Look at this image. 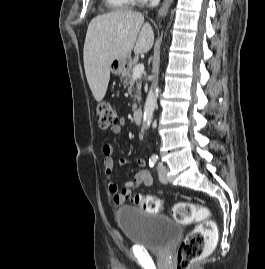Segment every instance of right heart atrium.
<instances>
[{"label":"right heart atrium","mask_w":265,"mask_h":269,"mask_svg":"<svg viewBox=\"0 0 265 269\" xmlns=\"http://www.w3.org/2000/svg\"><path fill=\"white\" fill-rule=\"evenodd\" d=\"M136 2H144V1H147V0H134Z\"/></svg>","instance_id":"obj_1"}]
</instances>
